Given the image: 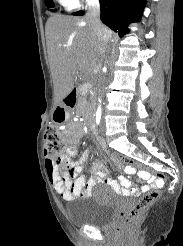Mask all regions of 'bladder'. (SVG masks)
Segmentation results:
<instances>
[{"label": "bladder", "instance_id": "31cf9c89", "mask_svg": "<svg viewBox=\"0 0 183 246\" xmlns=\"http://www.w3.org/2000/svg\"><path fill=\"white\" fill-rule=\"evenodd\" d=\"M118 208L116 196L105 186H101L83 205L68 210V218L77 227H107Z\"/></svg>", "mask_w": 183, "mask_h": 246}]
</instances>
